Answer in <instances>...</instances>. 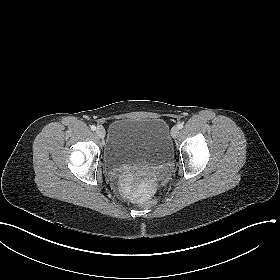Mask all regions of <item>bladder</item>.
<instances>
[{
  "instance_id": "1",
  "label": "bladder",
  "mask_w": 280,
  "mask_h": 280,
  "mask_svg": "<svg viewBox=\"0 0 280 280\" xmlns=\"http://www.w3.org/2000/svg\"><path fill=\"white\" fill-rule=\"evenodd\" d=\"M172 155L169 128L158 117H124L109 127L103 166L114 170L123 164H160Z\"/></svg>"
}]
</instances>
